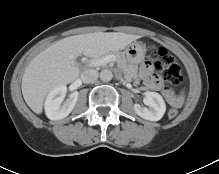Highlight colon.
Returning <instances> with one entry per match:
<instances>
[{"label": "colon", "mask_w": 219, "mask_h": 174, "mask_svg": "<svg viewBox=\"0 0 219 174\" xmlns=\"http://www.w3.org/2000/svg\"><path fill=\"white\" fill-rule=\"evenodd\" d=\"M149 56L155 60V71L167 82L173 85H179L183 81L181 67L176 59L168 53L164 48L156 46L149 47ZM168 117L175 118L178 114L177 109L170 108L168 110Z\"/></svg>", "instance_id": "obj_1"}]
</instances>
